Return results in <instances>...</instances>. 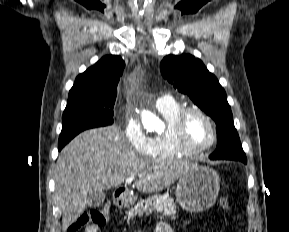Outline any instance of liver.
Masks as SVG:
<instances>
[{
    "label": "liver",
    "mask_w": 289,
    "mask_h": 232,
    "mask_svg": "<svg viewBox=\"0 0 289 232\" xmlns=\"http://www.w3.org/2000/svg\"><path fill=\"white\" fill-rule=\"evenodd\" d=\"M187 161L138 157L116 126L84 131L61 151L54 174L55 199L65 231L84 212L94 191L120 186L138 176V191L160 192L185 174Z\"/></svg>",
    "instance_id": "obj_1"
}]
</instances>
